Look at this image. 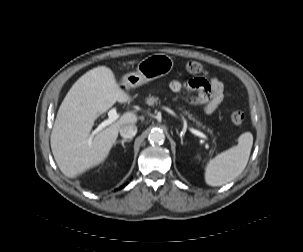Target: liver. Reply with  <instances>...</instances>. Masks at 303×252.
I'll return each mask as SVG.
<instances>
[{"mask_svg":"<svg viewBox=\"0 0 303 252\" xmlns=\"http://www.w3.org/2000/svg\"><path fill=\"white\" fill-rule=\"evenodd\" d=\"M130 100L106 66L89 70L73 84L59 107L50 137L53 156L65 176L76 178L107 158L119 129L135 124L138 116L126 112L95 136L90 132L95 120L113 104Z\"/></svg>","mask_w":303,"mask_h":252,"instance_id":"obj_1","label":"liver"}]
</instances>
